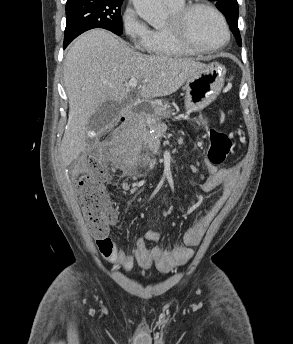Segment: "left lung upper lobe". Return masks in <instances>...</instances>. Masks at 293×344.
I'll list each match as a JSON object with an SVG mask.
<instances>
[{"instance_id": "obj_1", "label": "left lung upper lobe", "mask_w": 293, "mask_h": 344, "mask_svg": "<svg viewBox=\"0 0 293 344\" xmlns=\"http://www.w3.org/2000/svg\"><path fill=\"white\" fill-rule=\"evenodd\" d=\"M216 2V7L225 15L230 29L236 37L237 43L241 46V37L238 29V3L237 0H210Z\"/></svg>"}]
</instances>
